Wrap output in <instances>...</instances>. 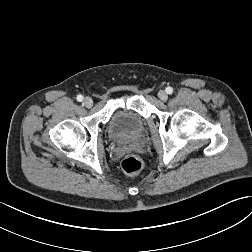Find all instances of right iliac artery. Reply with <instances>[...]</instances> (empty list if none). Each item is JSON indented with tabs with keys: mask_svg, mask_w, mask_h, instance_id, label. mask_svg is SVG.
Listing matches in <instances>:
<instances>
[{
	"mask_svg": "<svg viewBox=\"0 0 252 252\" xmlns=\"http://www.w3.org/2000/svg\"><path fill=\"white\" fill-rule=\"evenodd\" d=\"M83 100V96L82 95H78L77 96V101L81 102Z\"/></svg>",
	"mask_w": 252,
	"mask_h": 252,
	"instance_id": "right-iliac-artery-1",
	"label": "right iliac artery"
}]
</instances>
